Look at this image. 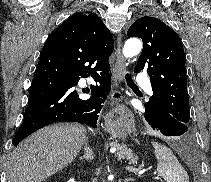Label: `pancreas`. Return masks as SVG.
Returning a JSON list of instances; mask_svg holds the SVG:
<instances>
[{
  "instance_id": "cf45deb5",
  "label": "pancreas",
  "mask_w": 211,
  "mask_h": 182,
  "mask_svg": "<svg viewBox=\"0 0 211 182\" xmlns=\"http://www.w3.org/2000/svg\"><path fill=\"white\" fill-rule=\"evenodd\" d=\"M117 151L115 152V157L118 160L126 159L129 160V163H135L137 161V157H134L132 154V150L128 149L125 145H116Z\"/></svg>"
}]
</instances>
